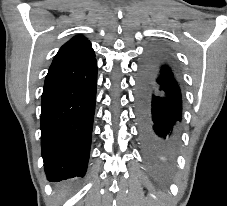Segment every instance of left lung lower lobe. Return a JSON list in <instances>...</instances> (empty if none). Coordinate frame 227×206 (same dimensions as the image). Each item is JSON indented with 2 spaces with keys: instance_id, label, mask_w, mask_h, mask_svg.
<instances>
[{
  "instance_id": "1",
  "label": "left lung lower lobe",
  "mask_w": 227,
  "mask_h": 206,
  "mask_svg": "<svg viewBox=\"0 0 227 206\" xmlns=\"http://www.w3.org/2000/svg\"><path fill=\"white\" fill-rule=\"evenodd\" d=\"M136 115L139 138L146 149H174L182 119V96L171 62L160 50L149 52L140 65Z\"/></svg>"
}]
</instances>
